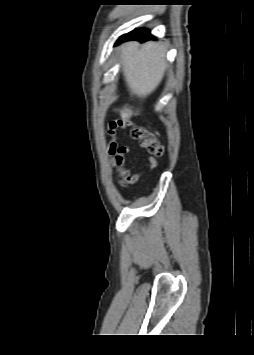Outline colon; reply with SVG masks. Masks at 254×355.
Returning a JSON list of instances; mask_svg holds the SVG:
<instances>
[{"mask_svg": "<svg viewBox=\"0 0 254 355\" xmlns=\"http://www.w3.org/2000/svg\"><path fill=\"white\" fill-rule=\"evenodd\" d=\"M123 123L130 127L131 138L138 141L150 155L161 156L163 154L164 148L154 131L141 125L132 124L129 121H123Z\"/></svg>", "mask_w": 254, "mask_h": 355, "instance_id": "colon-1", "label": "colon"}]
</instances>
